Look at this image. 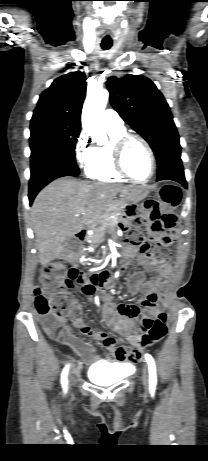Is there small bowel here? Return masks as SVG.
Masks as SVG:
<instances>
[{
    "instance_id": "c3829d8e",
    "label": "small bowel",
    "mask_w": 208,
    "mask_h": 461,
    "mask_svg": "<svg viewBox=\"0 0 208 461\" xmlns=\"http://www.w3.org/2000/svg\"><path fill=\"white\" fill-rule=\"evenodd\" d=\"M123 220L130 222L132 217L141 216L140 204H125ZM181 235L177 229H162L160 235L161 249H174L175 242L180 241ZM126 259L135 258L137 262L147 270L155 271L158 277L155 280H147L142 271L134 272L128 279V289L131 294H143L141 305L143 310L152 316L159 313L160 308L168 300V286L171 281L172 267L168 263L155 264L150 259L153 257L152 251H139L135 246L129 244L124 249ZM69 266L76 268L77 260H70ZM111 277L110 271H90L89 277H83L81 283L77 284V289L81 292L83 299H94L98 289L103 285L112 289L114 280ZM102 316L107 325L115 332L123 335L128 341L139 340L141 334L145 330L144 320L141 316V308L138 304L123 303L118 305L111 295H104L102 298ZM127 306V310L125 308ZM74 327L79 328L84 334L92 337L96 341L104 344L109 354L105 358L108 362L119 363L124 368L126 375L132 369V363L138 361L140 352L135 354L129 345L116 346V341L109 336L105 331L93 329L89 322L83 321L80 318H75L72 321ZM68 340H61L64 345L73 349V351L87 363H92L100 360V356L93 350L91 344L82 341L69 332Z\"/></svg>"
}]
</instances>
